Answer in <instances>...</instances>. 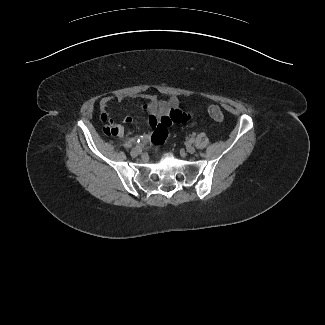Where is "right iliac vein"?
Returning <instances> with one entry per match:
<instances>
[{
    "label": "right iliac vein",
    "mask_w": 325,
    "mask_h": 325,
    "mask_svg": "<svg viewBox=\"0 0 325 325\" xmlns=\"http://www.w3.org/2000/svg\"><path fill=\"white\" fill-rule=\"evenodd\" d=\"M130 154H131V156L136 157V156L139 154V150H138V148H133V149L130 151Z\"/></svg>",
    "instance_id": "obj_1"
}]
</instances>
